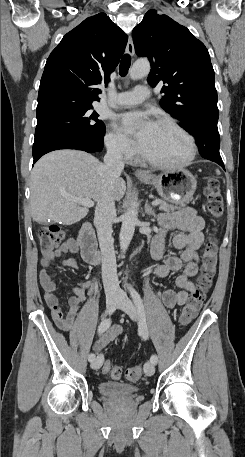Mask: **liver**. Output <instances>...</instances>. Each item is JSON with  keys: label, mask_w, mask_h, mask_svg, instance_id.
<instances>
[{"label": "liver", "mask_w": 245, "mask_h": 457, "mask_svg": "<svg viewBox=\"0 0 245 457\" xmlns=\"http://www.w3.org/2000/svg\"><path fill=\"white\" fill-rule=\"evenodd\" d=\"M99 166L93 154L84 150H53L44 154L31 170V216L36 222L51 218L63 224H74L89 212V206L67 200L65 196H80L100 200L103 190ZM125 180L118 176L110 194L115 200L123 198Z\"/></svg>", "instance_id": "1"}]
</instances>
